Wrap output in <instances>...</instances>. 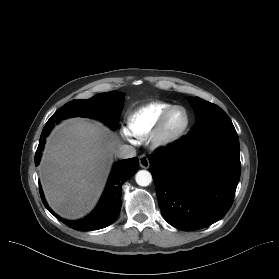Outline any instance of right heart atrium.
<instances>
[{"mask_svg":"<svg viewBox=\"0 0 279 279\" xmlns=\"http://www.w3.org/2000/svg\"><path fill=\"white\" fill-rule=\"evenodd\" d=\"M124 134L127 136L128 135V132L126 130H124Z\"/></svg>","mask_w":279,"mask_h":279,"instance_id":"obj_1","label":"right heart atrium"}]
</instances>
